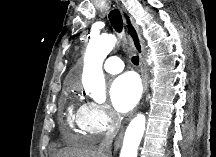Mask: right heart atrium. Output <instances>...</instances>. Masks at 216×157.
<instances>
[{
    "label": "right heart atrium",
    "mask_w": 216,
    "mask_h": 157,
    "mask_svg": "<svg viewBox=\"0 0 216 157\" xmlns=\"http://www.w3.org/2000/svg\"><path fill=\"white\" fill-rule=\"evenodd\" d=\"M118 119L104 104L88 102L78 116L79 128L88 135L101 136L113 131Z\"/></svg>",
    "instance_id": "1"
}]
</instances>
